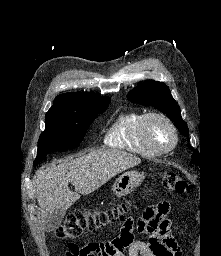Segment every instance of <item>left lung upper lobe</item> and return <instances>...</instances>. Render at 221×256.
I'll return each instance as SVG.
<instances>
[{
    "label": "left lung upper lobe",
    "mask_w": 221,
    "mask_h": 256,
    "mask_svg": "<svg viewBox=\"0 0 221 256\" xmlns=\"http://www.w3.org/2000/svg\"><path fill=\"white\" fill-rule=\"evenodd\" d=\"M127 98L132 102L151 105L160 109L174 122L175 126L184 136H188L189 129L186 122H184L181 117L179 105L173 99L170 90L165 83L154 80L145 81L130 91ZM191 163L200 166V156L196 150L193 151Z\"/></svg>",
    "instance_id": "1"
}]
</instances>
